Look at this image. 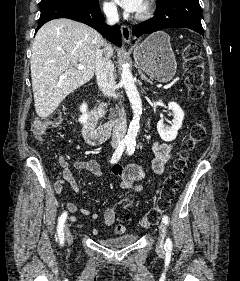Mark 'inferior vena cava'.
I'll list each match as a JSON object with an SVG mask.
<instances>
[{"label":"inferior vena cava","instance_id":"1","mask_svg":"<svg viewBox=\"0 0 240 281\" xmlns=\"http://www.w3.org/2000/svg\"><path fill=\"white\" fill-rule=\"evenodd\" d=\"M106 21L113 25L119 21L117 7L115 5H107L104 7ZM95 74L98 85L105 97L115 98L114 83L115 73L114 65L110 60L108 48L99 50L95 61ZM113 123L112 144H118L125 136L126 117L123 109L113 108L110 113Z\"/></svg>","mask_w":240,"mask_h":281}]
</instances>
